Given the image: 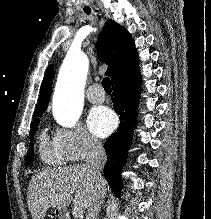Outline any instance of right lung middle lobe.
I'll list each match as a JSON object with an SVG mask.
<instances>
[{"label":"right lung middle lobe","mask_w":211,"mask_h":219,"mask_svg":"<svg viewBox=\"0 0 211 219\" xmlns=\"http://www.w3.org/2000/svg\"><path fill=\"white\" fill-rule=\"evenodd\" d=\"M36 115H40V114H36ZM38 124H39V119H35L31 125V144H30L27 157H26L27 165L31 164L33 161V135H34L35 129L38 126Z\"/></svg>","instance_id":"dd1d6c3e"}]
</instances>
